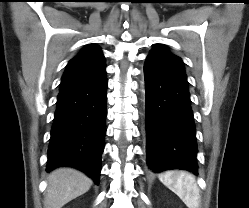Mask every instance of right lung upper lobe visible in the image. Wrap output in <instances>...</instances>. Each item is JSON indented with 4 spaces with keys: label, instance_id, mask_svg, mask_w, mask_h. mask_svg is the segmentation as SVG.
<instances>
[{
    "label": "right lung upper lobe",
    "instance_id": "1",
    "mask_svg": "<svg viewBox=\"0 0 249 208\" xmlns=\"http://www.w3.org/2000/svg\"><path fill=\"white\" fill-rule=\"evenodd\" d=\"M105 72V60L101 49L90 44L71 59L62 76L60 91L90 82Z\"/></svg>",
    "mask_w": 249,
    "mask_h": 208
}]
</instances>
